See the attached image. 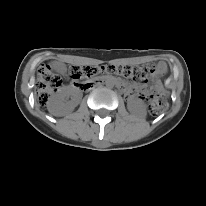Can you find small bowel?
<instances>
[{"label":"small bowel","instance_id":"c3829d8e","mask_svg":"<svg viewBox=\"0 0 206 206\" xmlns=\"http://www.w3.org/2000/svg\"><path fill=\"white\" fill-rule=\"evenodd\" d=\"M166 68H167L166 64L164 62H160L155 69V74L157 75L163 74L166 71Z\"/></svg>","mask_w":206,"mask_h":206}]
</instances>
